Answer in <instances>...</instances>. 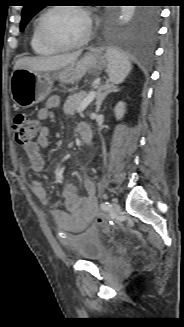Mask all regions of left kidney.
I'll use <instances>...</instances> for the list:
<instances>
[{
  "label": "left kidney",
  "instance_id": "left-kidney-1",
  "mask_svg": "<svg viewBox=\"0 0 184 327\" xmlns=\"http://www.w3.org/2000/svg\"><path fill=\"white\" fill-rule=\"evenodd\" d=\"M115 117L119 120L121 119L126 112V105L124 102H119L114 109Z\"/></svg>",
  "mask_w": 184,
  "mask_h": 327
}]
</instances>
